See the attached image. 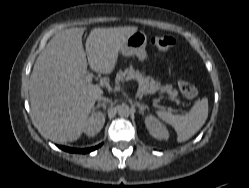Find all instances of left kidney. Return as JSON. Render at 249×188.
<instances>
[{
	"instance_id": "1",
	"label": "left kidney",
	"mask_w": 249,
	"mask_h": 188,
	"mask_svg": "<svg viewBox=\"0 0 249 188\" xmlns=\"http://www.w3.org/2000/svg\"><path fill=\"white\" fill-rule=\"evenodd\" d=\"M145 125L149 133L156 139H168L169 132L167 128L154 116L149 115L145 119Z\"/></svg>"
}]
</instances>
